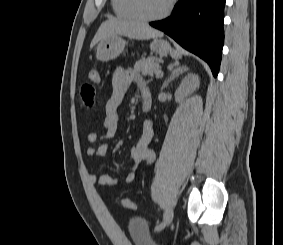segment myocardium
Segmentation results:
<instances>
[{
  "instance_id": "1",
  "label": "myocardium",
  "mask_w": 283,
  "mask_h": 245,
  "mask_svg": "<svg viewBox=\"0 0 283 245\" xmlns=\"http://www.w3.org/2000/svg\"><path fill=\"white\" fill-rule=\"evenodd\" d=\"M175 1L176 0H169L165 9L161 13L157 15H153V16L145 15L141 11L139 7V0H129V5H130L131 11L133 12V14L135 15L137 19L145 21V22H153V21H158V20H161L167 17L170 14L175 4Z\"/></svg>"
}]
</instances>
